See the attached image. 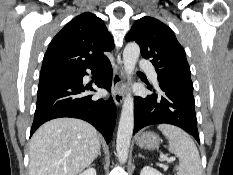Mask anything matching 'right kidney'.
I'll return each mask as SVG.
<instances>
[{
    "instance_id": "obj_1",
    "label": "right kidney",
    "mask_w": 233,
    "mask_h": 175,
    "mask_svg": "<svg viewBox=\"0 0 233 175\" xmlns=\"http://www.w3.org/2000/svg\"><path fill=\"white\" fill-rule=\"evenodd\" d=\"M79 175H96V170L94 168H88L87 170L80 173Z\"/></svg>"
}]
</instances>
